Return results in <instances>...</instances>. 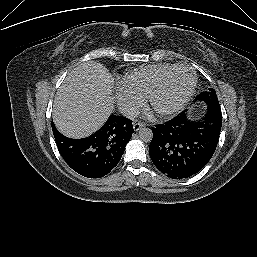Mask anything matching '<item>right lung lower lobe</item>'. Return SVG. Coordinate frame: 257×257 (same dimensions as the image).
<instances>
[{
    "label": "right lung lower lobe",
    "mask_w": 257,
    "mask_h": 257,
    "mask_svg": "<svg viewBox=\"0 0 257 257\" xmlns=\"http://www.w3.org/2000/svg\"><path fill=\"white\" fill-rule=\"evenodd\" d=\"M54 138L65 162L87 178L107 175L120 161L134 132L132 120L111 115L93 135L71 139L62 135L52 123Z\"/></svg>",
    "instance_id": "right-lung-lower-lobe-1"
}]
</instances>
